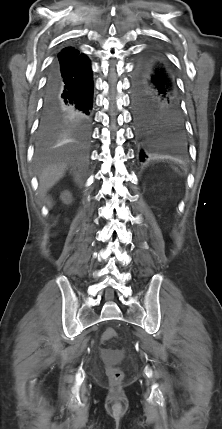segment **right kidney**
I'll list each match as a JSON object with an SVG mask.
<instances>
[{
    "instance_id": "1",
    "label": "right kidney",
    "mask_w": 222,
    "mask_h": 429,
    "mask_svg": "<svg viewBox=\"0 0 222 429\" xmlns=\"http://www.w3.org/2000/svg\"><path fill=\"white\" fill-rule=\"evenodd\" d=\"M60 198L64 203L69 204L72 201V194L69 191H63Z\"/></svg>"
}]
</instances>
